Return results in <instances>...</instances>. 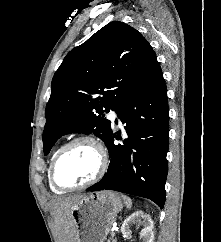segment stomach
Instances as JSON below:
<instances>
[{
	"instance_id": "1",
	"label": "stomach",
	"mask_w": 221,
	"mask_h": 242,
	"mask_svg": "<svg viewBox=\"0 0 221 242\" xmlns=\"http://www.w3.org/2000/svg\"><path fill=\"white\" fill-rule=\"evenodd\" d=\"M122 208L121 198L111 191L83 196L71 208L75 242H104Z\"/></svg>"
}]
</instances>
